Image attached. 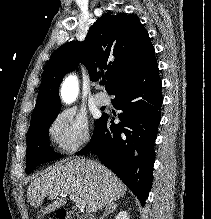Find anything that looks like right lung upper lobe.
Returning a JSON list of instances; mask_svg holds the SVG:
<instances>
[{
  "mask_svg": "<svg viewBox=\"0 0 211 219\" xmlns=\"http://www.w3.org/2000/svg\"><path fill=\"white\" fill-rule=\"evenodd\" d=\"M155 50L138 16L103 15L90 28L84 42H68L47 63L32 118L60 109L59 85L78 62L87 66L90 79L106 76L110 94L122 81L140 72L154 59Z\"/></svg>",
  "mask_w": 211,
  "mask_h": 219,
  "instance_id": "right-lung-upper-lobe-1",
  "label": "right lung upper lobe"
}]
</instances>
